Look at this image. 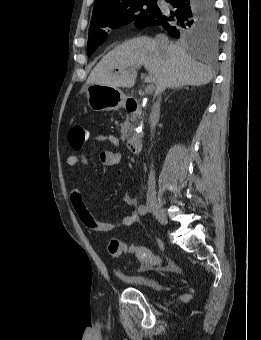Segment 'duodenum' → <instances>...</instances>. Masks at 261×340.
I'll list each match as a JSON object with an SVG mask.
<instances>
[{
	"label": "duodenum",
	"instance_id": "410a0bca",
	"mask_svg": "<svg viewBox=\"0 0 261 340\" xmlns=\"http://www.w3.org/2000/svg\"><path fill=\"white\" fill-rule=\"evenodd\" d=\"M127 110L131 113L137 114L140 112V104L136 100H130L127 102ZM127 147L133 154H139L142 148V135L135 134L127 140Z\"/></svg>",
	"mask_w": 261,
	"mask_h": 340
}]
</instances>
